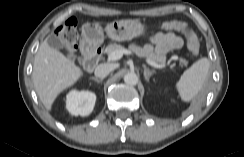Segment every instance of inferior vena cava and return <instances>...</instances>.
I'll return each instance as SVG.
<instances>
[{"instance_id":"602c4592","label":"inferior vena cava","mask_w":244,"mask_h":157,"mask_svg":"<svg viewBox=\"0 0 244 157\" xmlns=\"http://www.w3.org/2000/svg\"><path fill=\"white\" fill-rule=\"evenodd\" d=\"M113 70V66L110 64H100L95 69V76L101 79L108 76V74Z\"/></svg>"}]
</instances>
